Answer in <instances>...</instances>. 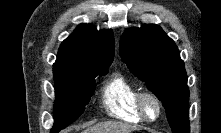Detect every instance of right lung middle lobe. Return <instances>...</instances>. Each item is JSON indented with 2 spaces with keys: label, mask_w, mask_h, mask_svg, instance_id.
Instances as JSON below:
<instances>
[{
  "label": "right lung middle lobe",
  "mask_w": 221,
  "mask_h": 133,
  "mask_svg": "<svg viewBox=\"0 0 221 133\" xmlns=\"http://www.w3.org/2000/svg\"><path fill=\"white\" fill-rule=\"evenodd\" d=\"M109 66L110 64L90 65L54 75L57 99L51 133H58L83 113L95 90V78L106 75Z\"/></svg>",
  "instance_id": "1"
}]
</instances>
